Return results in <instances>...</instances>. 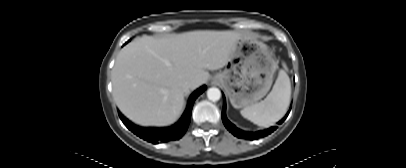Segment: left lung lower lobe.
<instances>
[{
  "instance_id": "obj_1",
  "label": "left lung lower lobe",
  "mask_w": 406,
  "mask_h": 168,
  "mask_svg": "<svg viewBox=\"0 0 406 168\" xmlns=\"http://www.w3.org/2000/svg\"><path fill=\"white\" fill-rule=\"evenodd\" d=\"M226 103H225V99H224V105H223V109H222V120L223 123L225 125V127L236 137L238 138H249V139H257L259 137H263L266 136L268 134H270L271 132H273L277 127H271L269 129L266 130H262V131H257V132H245L243 130H240L239 128H237L234 124H232L226 117ZM288 113L286 114V116L280 120L278 122V124H282L284 122V120L286 119V117L288 116Z\"/></svg>"
}]
</instances>
